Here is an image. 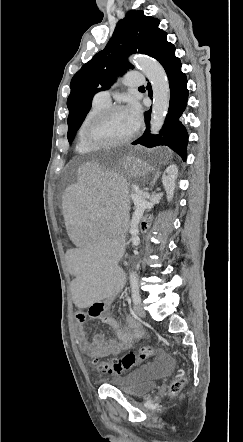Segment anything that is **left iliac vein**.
<instances>
[{"instance_id":"1","label":"left iliac vein","mask_w":243,"mask_h":442,"mask_svg":"<svg viewBox=\"0 0 243 442\" xmlns=\"http://www.w3.org/2000/svg\"><path fill=\"white\" fill-rule=\"evenodd\" d=\"M134 311L136 313L137 316L139 317H144L145 316V311L143 306L141 305V303H137L134 305Z\"/></svg>"}]
</instances>
